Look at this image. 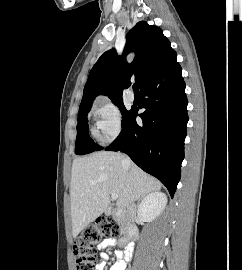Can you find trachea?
<instances>
[{
    "label": "trachea",
    "mask_w": 242,
    "mask_h": 270,
    "mask_svg": "<svg viewBox=\"0 0 242 270\" xmlns=\"http://www.w3.org/2000/svg\"><path fill=\"white\" fill-rule=\"evenodd\" d=\"M133 90H134V92H139V85H138V83H135L133 85Z\"/></svg>",
    "instance_id": "3493384b"
}]
</instances>
